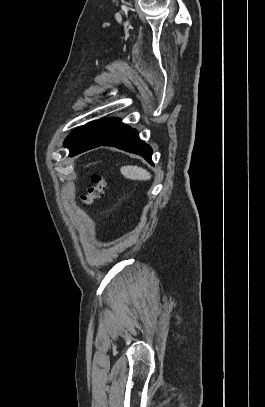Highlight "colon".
I'll return each instance as SVG.
<instances>
[{
    "mask_svg": "<svg viewBox=\"0 0 265 407\" xmlns=\"http://www.w3.org/2000/svg\"><path fill=\"white\" fill-rule=\"evenodd\" d=\"M106 187L107 182L103 175L99 173L92 174L91 185L81 196L82 203L87 207L93 206L96 201L105 197Z\"/></svg>",
    "mask_w": 265,
    "mask_h": 407,
    "instance_id": "colon-1",
    "label": "colon"
}]
</instances>
